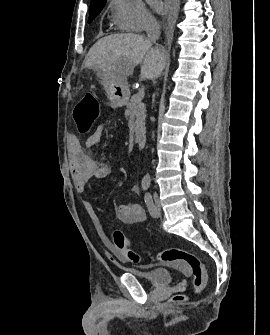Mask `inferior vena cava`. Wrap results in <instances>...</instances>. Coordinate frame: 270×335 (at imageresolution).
Wrapping results in <instances>:
<instances>
[{
	"instance_id": "1",
	"label": "inferior vena cava",
	"mask_w": 270,
	"mask_h": 335,
	"mask_svg": "<svg viewBox=\"0 0 270 335\" xmlns=\"http://www.w3.org/2000/svg\"><path fill=\"white\" fill-rule=\"evenodd\" d=\"M148 40H151V42H156V40H159L160 38V26L155 22V20H151L149 22L148 28H146Z\"/></svg>"
}]
</instances>
